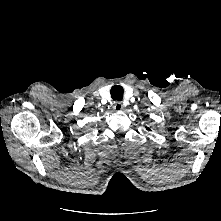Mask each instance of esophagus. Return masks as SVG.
Wrapping results in <instances>:
<instances>
[{
	"instance_id": "1",
	"label": "esophagus",
	"mask_w": 221,
	"mask_h": 221,
	"mask_svg": "<svg viewBox=\"0 0 221 221\" xmlns=\"http://www.w3.org/2000/svg\"><path fill=\"white\" fill-rule=\"evenodd\" d=\"M113 108L115 111H122L124 106L121 102H115Z\"/></svg>"
}]
</instances>
